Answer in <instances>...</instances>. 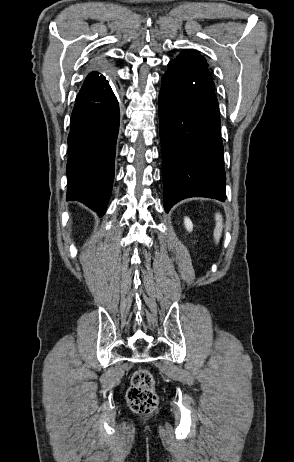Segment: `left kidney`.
Returning a JSON list of instances; mask_svg holds the SVG:
<instances>
[{
	"instance_id": "1",
	"label": "left kidney",
	"mask_w": 294,
	"mask_h": 462,
	"mask_svg": "<svg viewBox=\"0 0 294 462\" xmlns=\"http://www.w3.org/2000/svg\"><path fill=\"white\" fill-rule=\"evenodd\" d=\"M184 225L187 231L191 232L193 230L192 221L188 217L184 218Z\"/></svg>"
}]
</instances>
